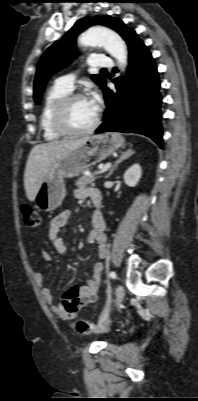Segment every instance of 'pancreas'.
Wrapping results in <instances>:
<instances>
[{
    "label": "pancreas",
    "mask_w": 198,
    "mask_h": 401,
    "mask_svg": "<svg viewBox=\"0 0 198 401\" xmlns=\"http://www.w3.org/2000/svg\"><path fill=\"white\" fill-rule=\"evenodd\" d=\"M97 177L94 175H85L83 174L81 177L78 178V180L75 182V185L78 188H85L90 185H94V181Z\"/></svg>",
    "instance_id": "cf45deb5"
}]
</instances>
